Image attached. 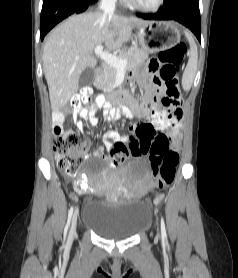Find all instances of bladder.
Here are the masks:
<instances>
[{
    "instance_id": "1",
    "label": "bladder",
    "mask_w": 238,
    "mask_h": 278,
    "mask_svg": "<svg viewBox=\"0 0 238 278\" xmlns=\"http://www.w3.org/2000/svg\"><path fill=\"white\" fill-rule=\"evenodd\" d=\"M151 220V205L139 204V199L117 203L93 199L84 202L81 211L83 227L105 240L131 239L147 229Z\"/></svg>"
}]
</instances>
